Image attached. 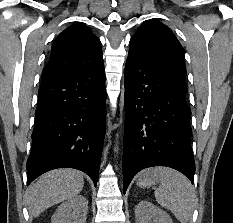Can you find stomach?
Instances as JSON below:
<instances>
[{
    "mask_svg": "<svg viewBox=\"0 0 233 223\" xmlns=\"http://www.w3.org/2000/svg\"><path fill=\"white\" fill-rule=\"evenodd\" d=\"M159 167H153V169H148L146 173H143L137 181L139 187H152L155 185L159 179Z\"/></svg>",
    "mask_w": 233,
    "mask_h": 223,
    "instance_id": "1",
    "label": "stomach"
}]
</instances>
